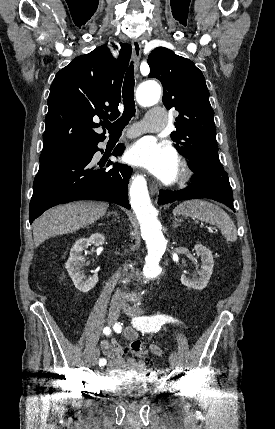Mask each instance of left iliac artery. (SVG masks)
Here are the masks:
<instances>
[{"label":"left iliac artery","instance_id":"obj_1","mask_svg":"<svg viewBox=\"0 0 275 429\" xmlns=\"http://www.w3.org/2000/svg\"><path fill=\"white\" fill-rule=\"evenodd\" d=\"M166 322H177V320L171 316L160 314L154 316L136 317L133 320V325L141 331L151 332L156 331L162 324Z\"/></svg>","mask_w":275,"mask_h":429}]
</instances>
